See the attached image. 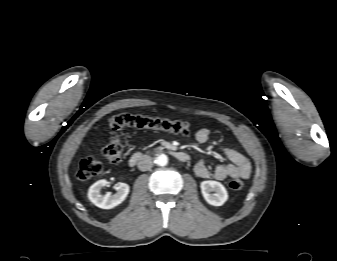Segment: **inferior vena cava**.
Masks as SVG:
<instances>
[{"label":"inferior vena cava","mask_w":337,"mask_h":261,"mask_svg":"<svg viewBox=\"0 0 337 261\" xmlns=\"http://www.w3.org/2000/svg\"><path fill=\"white\" fill-rule=\"evenodd\" d=\"M153 165L152 157L143 155L138 161V168L140 171L150 170Z\"/></svg>","instance_id":"1"}]
</instances>
